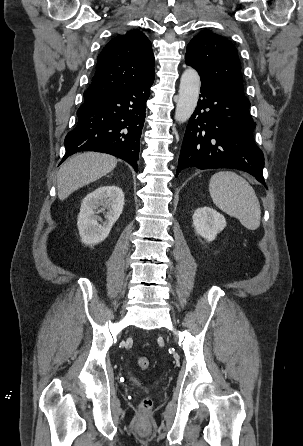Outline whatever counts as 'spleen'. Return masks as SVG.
I'll list each match as a JSON object with an SVG mask.
<instances>
[{
	"mask_svg": "<svg viewBox=\"0 0 303 446\" xmlns=\"http://www.w3.org/2000/svg\"><path fill=\"white\" fill-rule=\"evenodd\" d=\"M214 204L249 230L260 226L261 210L252 186L232 171L215 173L209 183Z\"/></svg>",
	"mask_w": 303,
	"mask_h": 446,
	"instance_id": "1",
	"label": "spleen"
}]
</instances>
